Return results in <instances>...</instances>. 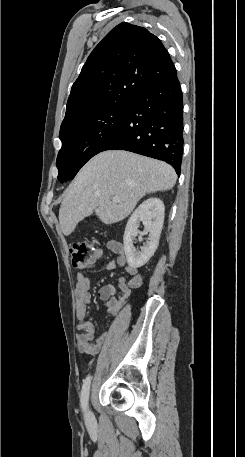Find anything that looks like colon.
<instances>
[{"label": "colon", "mask_w": 245, "mask_h": 457, "mask_svg": "<svg viewBox=\"0 0 245 457\" xmlns=\"http://www.w3.org/2000/svg\"><path fill=\"white\" fill-rule=\"evenodd\" d=\"M96 251L90 242H76L70 245L69 254L74 267L81 268L96 255Z\"/></svg>", "instance_id": "5ec220e1"}]
</instances>
